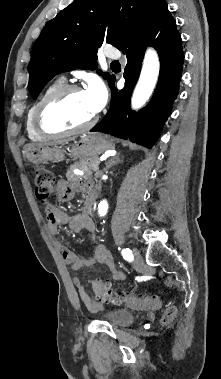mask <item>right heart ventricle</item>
Masks as SVG:
<instances>
[{
  "label": "right heart ventricle",
  "mask_w": 221,
  "mask_h": 379,
  "mask_svg": "<svg viewBox=\"0 0 221 379\" xmlns=\"http://www.w3.org/2000/svg\"><path fill=\"white\" fill-rule=\"evenodd\" d=\"M63 86V81L62 80H57L53 83H51L39 96V98L30 106L27 116H26V131L28 134V137L33 140V141H41L44 140L46 137L40 134L34 124V114L36 111L37 106L40 104V102L52 91L55 89Z\"/></svg>",
  "instance_id": "obj_1"
}]
</instances>
